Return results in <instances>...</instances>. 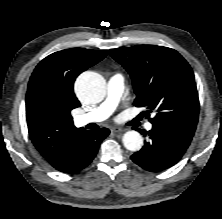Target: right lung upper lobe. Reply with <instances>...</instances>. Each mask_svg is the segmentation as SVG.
<instances>
[{"mask_svg":"<svg viewBox=\"0 0 222 219\" xmlns=\"http://www.w3.org/2000/svg\"><path fill=\"white\" fill-rule=\"evenodd\" d=\"M107 54L85 48L58 51L44 58L31 75L26 94L29 136L52 166L85 130L74 126L70 114L80 106L73 91L74 81Z\"/></svg>","mask_w":222,"mask_h":219,"instance_id":"cb5924a9","label":"right lung upper lobe"}]
</instances>
